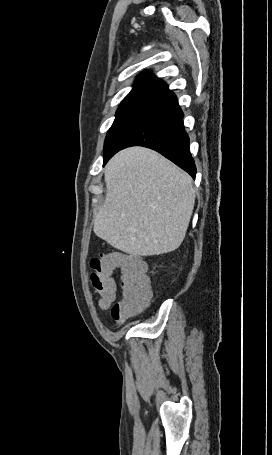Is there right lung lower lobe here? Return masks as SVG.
Listing matches in <instances>:
<instances>
[{
    "mask_svg": "<svg viewBox=\"0 0 272 455\" xmlns=\"http://www.w3.org/2000/svg\"><path fill=\"white\" fill-rule=\"evenodd\" d=\"M130 146H144L156 150L195 178L196 167L189 151L183 112L177 100L128 131L104 154V164L116 152Z\"/></svg>",
    "mask_w": 272,
    "mask_h": 455,
    "instance_id": "obj_1",
    "label": "right lung lower lobe"
}]
</instances>
